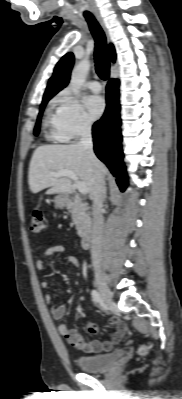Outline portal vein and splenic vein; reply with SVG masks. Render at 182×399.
<instances>
[{
	"label": "portal vein and splenic vein",
	"instance_id": "1",
	"mask_svg": "<svg viewBox=\"0 0 182 399\" xmlns=\"http://www.w3.org/2000/svg\"><path fill=\"white\" fill-rule=\"evenodd\" d=\"M53 175L57 178L68 177V178L72 179L75 183V187L78 189V191L80 193H82V194L88 193L87 186L82 181H79L77 175L75 173H73L72 171L62 170V171L54 173Z\"/></svg>",
	"mask_w": 182,
	"mask_h": 399
}]
</instances>
